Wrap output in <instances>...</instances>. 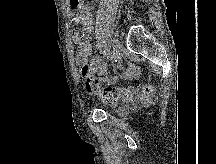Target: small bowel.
<instances>
[{
	"instance_id": "obj_1",
	"label": "small bowel",
	"mask_w": 216,
	"mask_h": 164,
	"mask_svg": "<svg viewBox=\"0 0 216 164\" xmlns=\"http://www.w3.org/2000/svg\"><path fill=\"white\" fill-rule=\"evenodd\" d=\"M73 24L81 25V30H76L73 34V39L77 45L75 56L76 63L82 68H87L92 74H98L101 78L108 80L107 66L99 58H90L92 54V46L86 40L93 28V18L90 7L85 6L80 14L75 15L72 19ZM133 70L126 71V76H131Z\"/></svg>"
}]
</instances>
